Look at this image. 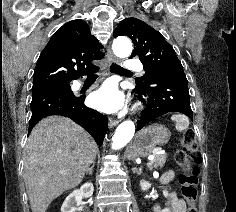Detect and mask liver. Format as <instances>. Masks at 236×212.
Listing matches in <instances>:
<instances>
[{
    "label": "liver",
    "mask_w": 236,
    "mask_h": 212,
    "mask_svg": "<svg viewBox=\"0 0 236 212\" xmlns=\"http://www.w3.org/2000/svg\"><path fill=\"white\" fill-rule=\"evenodd\" d=\"M97 151L93 138L71 119H42L27 140L24 159V180L32 212H46L55 198L78 186Z\"/></svg>",
    "instance_id": "1"
}]
</instances>
